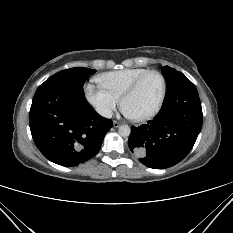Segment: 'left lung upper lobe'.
Masks as SVG:
<instances>
[{
	"label": "left lung upper lobe",
	"instance_id": "5c2ea615",
	"mask_svg": "<svg viewBox=\"0 0 233 233\" xmlns=\"http://www.w3.org/2000/svg\"><path fill=\"white\" fill-rule=\"evenodd\" d=\"M162 74L166 80L167 88L173 83L175 76L179 73L174 68L165 66L161 68Z\"/></svg>",
	"mask_w": 233,
	"mask_h": 233
}]
</instances>
